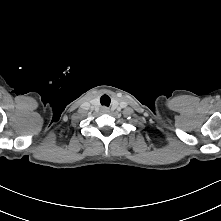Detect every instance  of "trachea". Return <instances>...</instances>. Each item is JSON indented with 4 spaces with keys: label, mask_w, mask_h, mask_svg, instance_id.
I'll return each mask as SVG.
<instances>
[{
    "label": "trachea",
    "mask_w": 221,
    "mask_h": 221,
    "mask_svg": "<svg viewBox=\"0 0 221 221\" xmlns=\"http://www.w3.org/2000/svg\"><path fill=\"white\" fill-rule=\"evenodd\" d=\"M110 102H111V99L108 95L104 94L101 98H100V103L101 105H104V106H109L110 105Z\"/></svg>",
    "instance_id": "3493384b"
}]
</instances>
